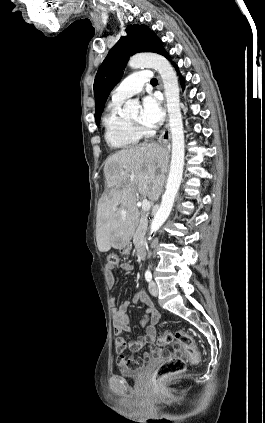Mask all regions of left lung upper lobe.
I'll list each match as a JSON object with an SVG mask.
<instances>
[{
  "label": "left lung upper lobe",
  "instance_id": "left-lung-upper-lobe-1",
  "mask_svg": "<svg viewBox=\"0 0 265 423\" xmlns=\"http://www.w3.org/2000/svg\"><path fill=\"white\" fill-rule=\"evenodd\" d=\"M126 33L127 36L121 37L109 51L94 80L97 125L103 112V106L111 90L120 81L129 57L138 52H154L161 55L166 52L161 40L145 25H129Z\"/></svg>",
  "mask_w": 265,
  "mask_h": 423
}]
</instances>
